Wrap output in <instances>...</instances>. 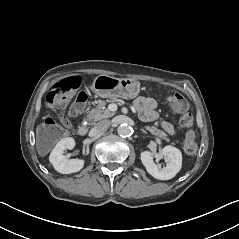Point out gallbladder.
Listing matches in <instances>:
<instances>
[{"label": "gallbladder", "instance_id": "1", "mask_svg": "<svg viewBox=\"0 0 239 239\" xmlns=\"http://www.w3.org/2000/svg\"><path fill=\"white\" fill-rule=\"evenodd\" d=\"M42 147H44L46 149V151L48 150V148L45 145H42L41 147L38 146V153L39 154H41Z\"/></svg>", "mask_w": 239, "mask_h": 239}]
</instances>
